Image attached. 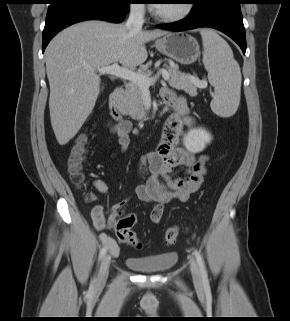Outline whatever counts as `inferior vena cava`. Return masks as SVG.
Masks as SVG:
<instances>
[{"instance_id": "obj_1", "label": "inferior vena cava", "mask_w": 290, "mask_h": 321, "mask_svg": "<svg viewBox=\"0 0 290 321\" xmlns=\"http://www.w3.org/2000/svg\"><path fill=\"white\" fill-rule=\"evenodd\" d=\"M145 8L142 4L131 6L129 18L125 24L129 31L137 32L142 29L144 23Z\"/></svg>"}]
</instances>
